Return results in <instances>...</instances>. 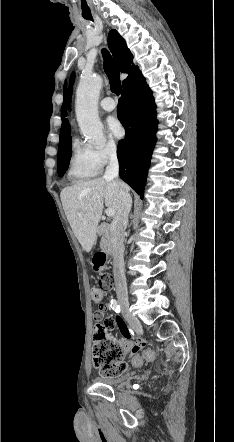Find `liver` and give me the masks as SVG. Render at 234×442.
I'll return each mask as SVG.
<instances>
[{"instance_id": "6515ba94", "label": "liver", "mask_w": 234, "mask_h": 442, "mask_svg": "<svg viewBox=\"0 0 234 442\" xmlns=\"http://www.w3.org/2000/svg\"><path fill=\"white\" fill-rule=\"evenodd\" d=\"M123 190L128 191L129 188L122 182L98 178L77 182L61 191L66 217L74 235L87 252L96 244L104 204L116 212Z\"/></svg>"}]
</instances>
